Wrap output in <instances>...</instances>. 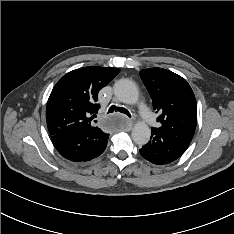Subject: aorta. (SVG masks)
<instances>
[{"label": "aorta", "mask_w": 234, "mask_h": 234, "mask_svg": "<svg viewBox=\"0 0 234 234\" xmlns=\"http://www.w3.org/2000/svg\"><path fill=\"white\" fill-rule=\"evenodd\" d=\"M114 93L119 101L125 104H135L139 98V92L134 82L129 79H120L114 85ZM151 136L149 126L144 122H137L132 130V139L138 145L148 143Z\"/></svg>", "instance_id": "obj_1"}]
</instances>
